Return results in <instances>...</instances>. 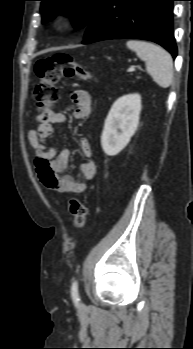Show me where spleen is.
<instances>
[{
  "mask_svg": "<svg viewBox=\"0 0 193 349\" xmlns=\"http://www.w3.org/2000/svg\"><path fill=\"white\" fill-rule=\"evenodd\" d=\"M127 47L145 61L148 74L162 88H168L173 81V61L162 47L146 41L129 40Z\"/></svg>",
  "mask_w": 193,
  "mask_h": 349,
  "instance_id": "3e777b00",
  "label": "spleen"
}]
</instances>
